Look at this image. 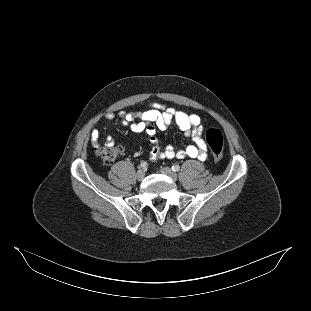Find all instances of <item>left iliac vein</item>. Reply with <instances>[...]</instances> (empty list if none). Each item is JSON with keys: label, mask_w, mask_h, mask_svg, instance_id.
Listing matches in <instances>:
<instances>
[{"label": "left iliac vein", "mask_w": 311, "mask_h": 311, "mask_svg": "<svg viewBox=\"0 0 311 311\" xmlns=\"http://www.w3.org/2000/svg\"><path fill=\"white\" fill-rule=\"evenodd\" d=\"M160 171L162 174L170 177L173 181H176L178 178L177 174L169 167H163Z\"/></svg>", "instance_id": "obj_1"}]
</instances>
